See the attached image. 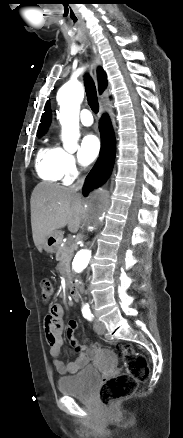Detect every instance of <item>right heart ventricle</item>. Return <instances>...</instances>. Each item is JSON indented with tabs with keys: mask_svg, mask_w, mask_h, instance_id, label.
<instances>
[{
	"mask_svg": "<svg viewBox=\"0 0 183 438\" xmlns=\"http://www.w3.org/2000/svg\"><path fill=\"white\" fill-rule=\"evenodd\" d=\"M60 150L54 147L42 148L37 156L36 168L38 174L45 180L57 182L63 174L59 166Z\"/></svg>",
	"mask_w": 183,
	"mask_h": 438,
	"instance_id": "e07e8e85",
	"label": "right heart ventricle"
}]
</instances>
